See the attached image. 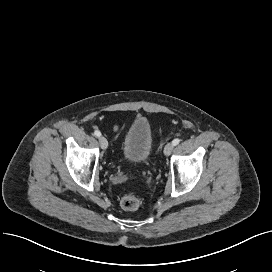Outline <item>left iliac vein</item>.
Here are the masks:
<instances>
[{"label":"left iliac vein","mask_w":272,"mask_h":272,"mask_svg":"<svg viewBox=\"0 0 272 272\" xmlns=\"http://www.w3.org/2000/svg\"><path fill=\"white\" fill-rule=\"evenodd\" d=\"M174 149V144L172 142L167 143L164 147V155L169 156Z\"/></svg>","instance_id":"left-iliac-vein-1"}]
</instances>
